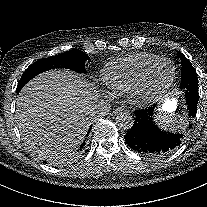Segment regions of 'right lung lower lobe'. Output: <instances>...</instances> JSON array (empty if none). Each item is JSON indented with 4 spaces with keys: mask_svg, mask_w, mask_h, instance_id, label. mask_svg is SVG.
I'll return each instance as SVG.
<instances>
[{
    "mask_svg": "<svg viewBox=\"0 0 207 207\" xmlns=\"http://www.w3.org/2000/svg\"><path fill=\"white\" fill-rule=\"evenodd\" d=\"M89 130H90V129H89ZM88 133H89V131H88ZM82 146H84V143L82 144ZM82 146H81V147H82Z\"/></svg>",
    "mask_w": 207,
    "mask_h": 207,
    "instance_id": "1",
    "label": "right lung lower lobe"
}]
</instances>
